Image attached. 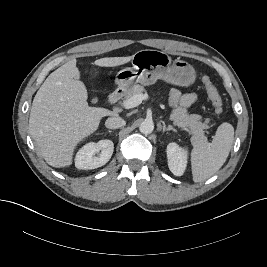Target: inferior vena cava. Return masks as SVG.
I'll list each match as a JSON object with an SVG mask.
<instances>
[{
    "mask_svg": "<svg viewBox=\"0 0 267 267\" xmlns=\"http://www.w3.org/2000/svg\"><path fill=\"white\" fill-rule=\"evenodd\" d=\"M126 122L119 116H113L106 120L105 126L109 129H118L125 126Z\"/></svg>",
    "mask_w": 267,
    "mask_h": 267,
    "instance_id": "inferior-vena-cava-1",
    "label": "inferior vena cava"
}]
</instances>
